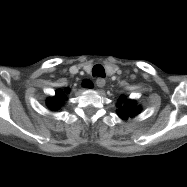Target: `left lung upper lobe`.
<instances>
[{
	"instance_id": "left-lung-upper-lobe-1",
	"label": "left lung upper lobe",
	"mask_w": 187,
	"mask_h": 187,
	"mask_svg": "<svg viewBox=\"0 0 187 187\" xmlns=\"http://www.w3.org/2000/svg\"><path fill=\"white\" fill-rule=\"evenodd\" d=\"M139 111L138 108L135 107V102L132 100H128L124 103V105L119 109L118 115L122 119H127L128 116L133 117Z\"/></svg>"
}]
</instances>
